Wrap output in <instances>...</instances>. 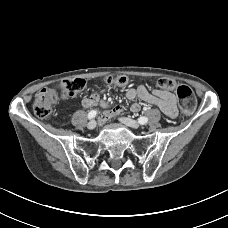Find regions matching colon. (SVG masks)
<instances>
[{
	"label": "colon",
	"mask_w": 228,
	"mask_h": 228,
	"mask_svg": "<svg viewBox=\"0 0 228 228\" xmlns=\"http://www.w3.org/2000/svg\"><path fill=\"white\" fill-rule=\"evenodd\" d=\"M108 85L125 86L129 79L126 76H108L105 78ZM85 80L82 78H68L60 84V94L55 90L44 88L40 90L35 97L33 110L37 117L47 118L53 110L59 96L69 98L79 94L85 87ZM158 86L163 90H175L179 105L184 114H190L196 107L197 100L194 92L187 85H177L171 78H161L158 80Z\"/></svg>",
	"instance_id": "1"
}]
</instances>
